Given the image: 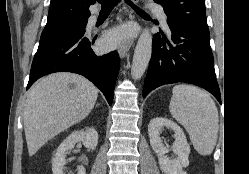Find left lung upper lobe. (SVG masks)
I'll return each mask as SVG.
<instances>
[{"label": "left lung upper lobe", "mask_w": 249, "mask_h": 174, "mask_svg": "<svg viewBox=\"0 0 249 174\" xmlns=\"http://www.w3.org/2000/svg\"><path fill=\"white\" fill-rule=\"evenodd\" d=\"M167 17L179 23L208 28L204 0H154Z\"/></svg>", "instance_id": "1"}]
</instances>
